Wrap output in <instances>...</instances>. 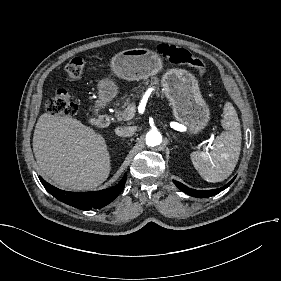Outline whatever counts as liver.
I'll return each instance as SVG.
<instances>
[{
    "label": "liver",
    "instance_id": "liver-1",
    "mask_svg": "<svg viewBox=\"0 0 281 281\" xmlns=\"http://www.w3.org/2000/svg\"><path fill=\"white\" fill-rule=\"evenodd\" d=\"M33 151L43 173L62 188L90 190L109 174L103 137L77 119L42 114L33 134Z\"/></svg>",
    "mask_w": 281,
    "mask_h": 281
}]
</instances>
